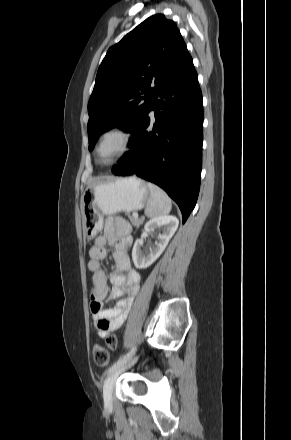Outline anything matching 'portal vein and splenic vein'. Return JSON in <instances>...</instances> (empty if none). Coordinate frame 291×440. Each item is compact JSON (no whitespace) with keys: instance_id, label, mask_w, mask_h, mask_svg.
Here are the masks:
<instances>
[{"instance_id":"obj_1","label":"portal vein and splenic vein","mask_w":291,"mask_h":440,"mask_svg":"<svg viewBox=\"0 0 291 440\" xmlns=\"http://www.w3.org/2000/svg\"><path fill=\"white\" fill-rule=\"evenodd\" d=\"M133 217L138 218V213H133Z\"/></svg>"}]
</instances>
